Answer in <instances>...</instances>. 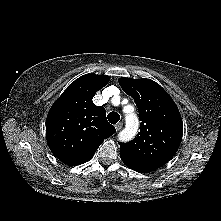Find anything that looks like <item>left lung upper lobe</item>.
Segmentation results:
<instances>
[{
    "mask_svg": "<svg viewBox=\"0 0 221 221\" xmlns=\"http://www.w3.org/2000/svg\"><path fill=\"white\" fill-rule=\"evenodd\" d=\"M118 82L133 97L141 120L137 137L120 144L121 159L144 171L156 170L179 148L183 134L180 112L168 93L150 79L119 78Z\"/></svg>",
    "mask_w": 221,
    "mask_h": 221,
    "instance_id": "5c2ea615",
    "label": "left lung upper lobe"
}]
</instances>
